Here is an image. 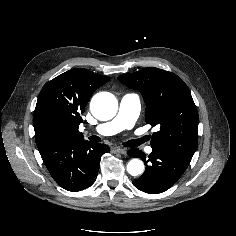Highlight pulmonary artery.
I'll list each match as a JSON object with an SVG mask.
<instances>
[{"instance_id": "e3ab8cb5", "label": "pulmonary artery", "mask_w": 236, "mask_h": 236, "mask_svg": "<svg viewBox=\"0 0 236 236\" xmlns=\"http://www.w3.org/2000/svg\"><path fill=\"white\" fill-rule=\"evenodd\" d=\"M140 97L137 93H127L120 101L119 110L114 119L101 123L93 128L100 135H113L125 129H131L140 113ZM147 153L152 152L151 147L146 148Z\"/></svg>"}]
</instances>
